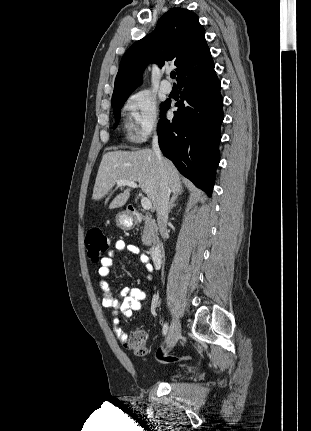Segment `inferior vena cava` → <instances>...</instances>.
Wrapping results in <instances>:
<instances>
[{
    "instance_id": "inferior-vena-cava-1",
    "label": "inferior vena cava",
    "mask_w": 311,
    "mask_h": 431,
    "mask_svg": "<svg viewBox=\"0 0 311 431\" xmlns=\"http://www.w3.org/2000/svg\"><path fill=\"white\" fill-rule=\"evenodd\" d=\"M159 136H157V132H154L153 140H152V150L157 156V160L159 164H161V168L159 170L160 174V182H159V192L157 196V223L159 227V231L162 237L167 235V221L169 214V198H170V188H168L167 184V174L164 170L163 166V156L161 154L160 146H159Z\"/></svg>"
}]
</instances>
